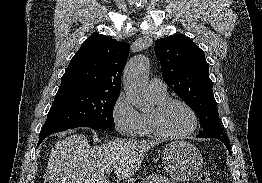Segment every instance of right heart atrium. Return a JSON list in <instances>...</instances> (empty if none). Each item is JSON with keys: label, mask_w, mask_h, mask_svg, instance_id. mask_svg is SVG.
<instances>
[{"label": "right heart atrium", "mask_w": 262, "mask_h": 183, "mask_svg": "<svg viewBox=\"0 0 262 183\" xmlns=\"http://www.w3.org/2000/svg\"><path fill=\"white\" fill-rule=\"evenodd\" d=\"M115 129L123 136H134L138 132L140 113L133 107L125 94L118 95L111 109Z\"/></svg>", "instance_id": "right-heart-atrium-1"}]
</instances>
